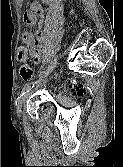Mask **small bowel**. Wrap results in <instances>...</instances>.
<instances>
[{"instance_id":"obj_1","label":"small bowel","mask_w":123,"mask_h":167,"mask_svg":"<svg viewBox=\"0 0 123 167\" xmlns=\"http://www.w3.org/2000/svg\"><path fill=\"white\" fill-rule=\"evenodd\" d=\"M37 15H41V11L35 5L31 11L24 14L23 20L27 25H35L36 33L25 31L22 34V41L27 45L29 50V57L33 59L34 63L40 61L42 48L45 43L46 34L40 22L37 21Z\"/></svg>"}]
</instances>
